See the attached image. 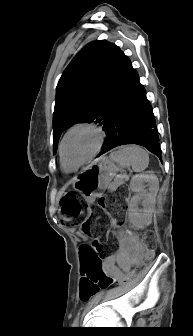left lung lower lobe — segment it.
I'll use <instances>...</instances> for the list:
<instances>
[{"instance_id": "1", "label": "left lung lower lobe", "mask_w": 193, "mask_h": 336, "mask_svg": "<svg viewBox=\"0 0 193 336\" xmlns=\"http://www.w3.org/2000/svg\"><path fill=\"white\" fill-rule=\"evenodd\" d=\"M103 130L107 137L100 155L121 145L136 144L162 160L154 114L129 60Z\"/></svg>"}]
</instances>
